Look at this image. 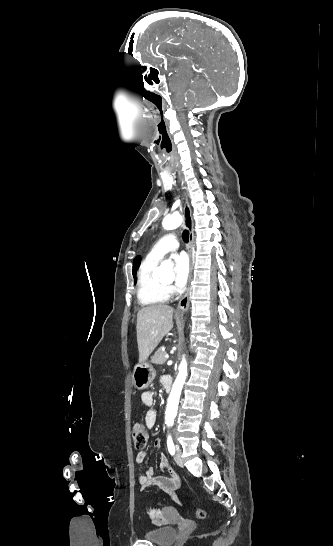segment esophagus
I'll return each mask as SVG.
<instances>
[{
	"label": "esophagus",
	"mask_w": 333,
	"mask_h": 546,
	"mask_svg": "<svg viewBox=\"0 0 333 546\" xmlns=\"http://www.w3.org/2000/svg\"><path fill=\"white\" fill-rule=\"evenodd\" d=\"M183 218H184V225L189 230V233H190V235H189V249H188V253H189V256H190V274H189V282H190L191 277H192V265H193V250H192V247H193V243H194V232H193V221H192V215H191V208H190L187 196H186V201H185V204H184ZM190 291H191V288L189 286L186 293H185V295L179 301V304H178L177 309H176L177 314L182 315L187 311V309L189 307Z\"/></svg>",
	"instance_id": "1"
}]
</instances>
